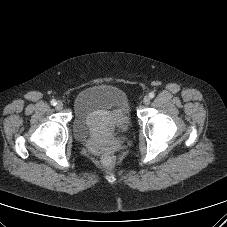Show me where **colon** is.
<instances>
[{
  "instance_id": "obj_1",
  "label": "colon",
  "mask_w": 227,
  "mask_h": 227,
  "mask_svg": "<svg viewBox=\"0 0 227 227\" xmlns=\"http://www.w3.org/2000/svg\"><path fill=\"white\" fill-rule=\"evenodd\" d=\"M102 162H103L104 166H106L108 168L112 167L115 163V156H114L113 152L106 151L102 157Z\"/></svg>"
}]
</instances>
